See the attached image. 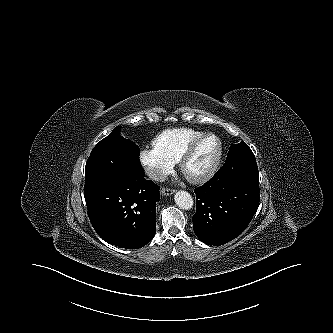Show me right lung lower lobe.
Here are the masks:
<instances>
[{
	"mask_svg": "<svg viewBox=\"0 0 333 333\" xmlns=\"http://www.w3.org/2000/svg\"><path fill=\"white\" fill-rule=\"evenodd\" d=\"M90 222L107 243L137 249L156 232L159 186L143 175L84 191Z\"/></svg>",
	"mask_w": 333,
	"mask_h": 333,
	"instance_id": "1",
	"label": "right lung lower lobe"
}]
</instances>
